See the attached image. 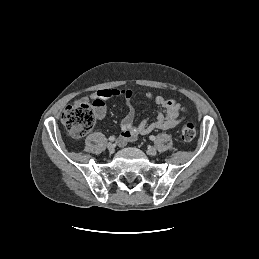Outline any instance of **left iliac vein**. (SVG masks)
<instances>
[{"mask_svg":"<svg viewBox=\"0 0 259 259\" xmlns=\"http://www.w3.org/2000/svg\"><path fill=\"white\" fill-rule=\"evenodd\" d=\"M156 153H157V150H156V148L155 147H148V149H147V154L148 155H151V156H153V155H156Z\"/></svg>","mask_w":259,"mask_h":259,"instance_id":"left-iliac-vein-1","label":"left iliac vein"}]
</instances>
